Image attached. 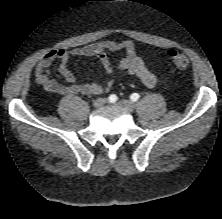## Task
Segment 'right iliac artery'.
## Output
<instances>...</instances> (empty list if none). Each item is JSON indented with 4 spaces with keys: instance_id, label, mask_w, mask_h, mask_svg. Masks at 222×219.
<instances>
[{
    "instance_id": "1",
    "label": "right iliac artery",
    "mask_w": 222,
    "mask_h": 219,
    "mask_svg": "<svg viewBox=\"0 0 222 219\" xmlns=\"http://www.w3.org/2000/svg\"><path fill=\"white\" fill-rule=\"evenodd\" d=\"M109 101H110L111 103H115V102L117 101V96L114 95V94L110 95V96H109Z\"/></svg>"
}]
</instances>
